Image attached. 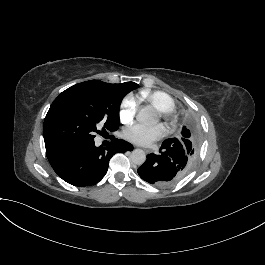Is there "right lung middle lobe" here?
I'll return each instance as SVG.
<instances>
[{
	"label": "right lung middle lobe",
	"mask_w": 265,
	"mask_h": 265,
	"mask_svg": "<svg viewBox=\"0 0 265 265\" xmlns=\"http://www.w3.org/2000/svg\"><path fill=\"white\" fill-rule=\"evenodd\" d=\"M125 83L99 80L82 82L66 89L52 103L44 120L46 149L60 144L94 139V132L117 130L123 97L134 90ZM98 132V131H97Z\"/></svg>",
	"instance_id": "obj_1"
}]
</instances>
